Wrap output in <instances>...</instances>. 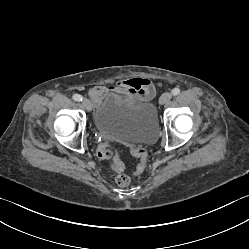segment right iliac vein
<instances>
[{"mask_svg": "<svg viewBox=\"0 0 249 249\" xmlns=\"http://www.w3.org/2000/svg\"><path fill=\"white\" fill-rule=\"evenodd\" d=\"M82 105L84 106V108H85L87 111H91V109H92V104H91V102H90L89 99L84 98V99L82 100Z\"/></svg>", "mask_w": 249, "mask_h": 249, "instance_id": "1", "label": "right iliac vein"}]
</instances>
